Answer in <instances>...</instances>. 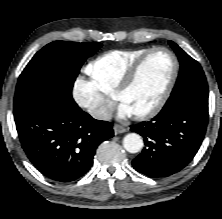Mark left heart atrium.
I'll list each match as a JSON object with an SVG mask.
<instances>
[{
  "label": "left heart atrium",
  "instance_id": "1",
  "mask_svg": "<svg viewBox=\"0 0 222 219\" xmlns=\"http://www.w3.org/2000/svg\"><path fill=\"white\" fill-rule=\"evenodd\" d=\"M132 115H134V114H133L132 110L127 105H125L124 103H121L119 105L118 117L120 119L128 118V117H131Z\"/></svg>",
  "mask_w": 222,
  "mask_h": 219
}]
</instances>
